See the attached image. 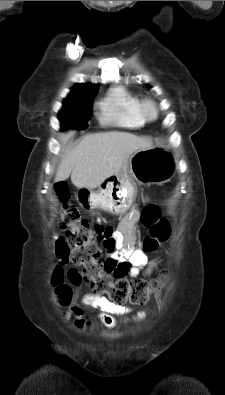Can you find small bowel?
Segmentation results:
<instances>
[{"instance_id": "1", "label": "small bowel", "mask_w": 225, "mask_h": 395, "mask_svg": "<svg viewBox=\"0 0 225 395\" xmlns=\"http://www.w3.org/2000/svg\"><path fill=\"white\" fill-rule=\"evenodd\" d=\"M138 214L132 212L129 214L118 232L111 228H104L97 225L95 232L98 242L107 250L106 269L113 276L125 278L126 276L136 277L141 270L150 274L157 266L156 260H150L141 250L137 249L130 235V227L137 221ZM54 253L59 266H64L67 270L68 281H72V287L76 292L85 289L84 279H81L80 267H71L68 260H71L72 248L69 240L65 237H54ZM83 303L87 306L100 310L99 319L107 328H114L117 324L115 315H125L130 309L125 306L116 305L109 299L98 295L87 294L83 298ZM75 317V323L79 328H87L90 321L83 316V310L74 306L71 310ZM144 313L138 314V318L144 317Z\"/></svg>"}]
</instances>
